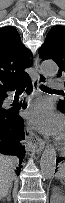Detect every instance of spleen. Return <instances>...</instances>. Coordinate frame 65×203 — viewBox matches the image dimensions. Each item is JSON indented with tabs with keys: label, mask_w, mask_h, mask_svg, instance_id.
<instances>
[{
	"label": "spleen",
	"mask_w": 65,
	"mask_h": 203,
	"mask_svg": "<svg viewBox=\"0 0 65 203\" xmlns=\"http://www.w3.org/2000/svg\"><path fill=\"white\" fill-rule=\"evenodd\" d=\"M57 177H58V178L64 177V168H63V167H61V168L59 169V171H58V173H57Z\"/></svg>",
	"instance_id": "1"
}]
</instances>
